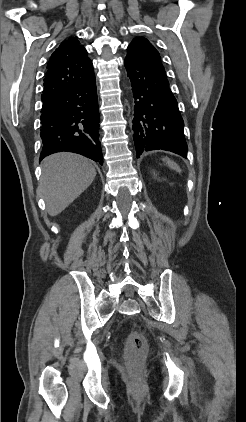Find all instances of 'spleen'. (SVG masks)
I'll list each match as a JSON object with an SVG mask.
<instances>
[{"mask_svg":"<svg viewBox=\"0 0 246 422\" xmlns=\"http://www.w3.org/2000/svg\"><path fill=\"white\" fill-rule=\"evenodd\" d=\"M162 160L166 163V165L169 168H171V169H173V170H175V171H177L179 173L181 172V169H180L179 165H177L174 161L170 160L167 157H164Z\"/></svg>","mask_w":246,"mask_h":422,"instance_id":"3e777b00","label":"spleen"}]
</instances>
